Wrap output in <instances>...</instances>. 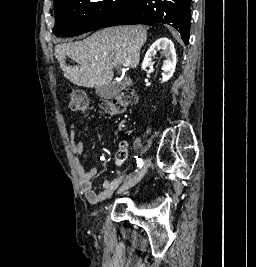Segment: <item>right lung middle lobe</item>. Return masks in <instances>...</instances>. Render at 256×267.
I'll use <instances>...</instances> for the list:
<instances>
[{"instance_id": "obj_1", "label": "right lung middle lobe", "mask_w": 256, "mask_h": 267, "mask_svg": "<svg viewBox=\"0 0 256 267\" xmlns=\"http://www.w3.org/2000/svg\"><path fill=\"white\" fill-rule=\"evenodd\" d=\"M134 0H57L54 34L79 35L102 28Z\"/></svg>"}]
</instances>
